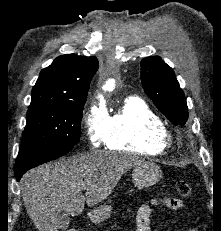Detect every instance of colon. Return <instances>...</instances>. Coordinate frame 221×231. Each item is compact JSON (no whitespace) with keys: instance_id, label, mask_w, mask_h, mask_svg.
I'll use <instances>...</instances> for the list:
<instances>
[{"instance_id":"colon-1","label":"colon","mask_w":221,"mask_h":231,"mask_svg":"<svg viewBox=\"0 0 221 231\" xmlns=\"http://www.w3.org/2000/svg\"><path fill=\"white\" fill-rule=\"evenodd\" d=\"M176 189L181 196H188L192 192L191 185L185 181H178L176 183ZM69 231H75V230H69Z\"/></svg>"}]
</instances>
